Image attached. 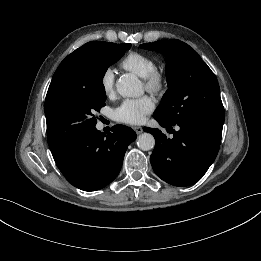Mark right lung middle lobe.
<instances>
[{
    "instance_id": "dd1d6c3e",
    "label": "right lung middle lobe",
    "mask_w": 261,
    "mask_h": 261,
    "mask_svg": "<svg viewBox=\"0 0 261 261\" xmlns=\"http://www.w3.org/2000/svg\"><path fill=\"white\" fill-rule=\"evenodd\" d=\"M131 44L107 43L86 57L84 71L87 83L60 93L45 106L47 139L50 150L56 153L79 135L96 126V111L105 105L106 93L102 83L105 72L119 60Z\"/></svg>"
}]
</instances>
